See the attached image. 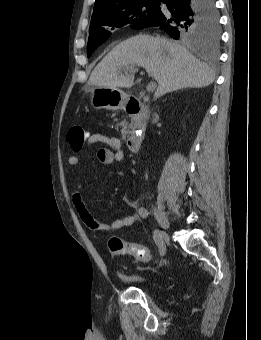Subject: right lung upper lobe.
<instances>
[{"mask_svg":"<svg viewBox=\"0 0 261 340\" xmlns=\"http://www.w3.org/2000/svg\"><path fill=\"white\" fill-rule=\"evenodd\" d=\"M144 0H96L91 21L99 20L117 9Z\"/></svg>","mask_w":261,"mask_h":340,"instance_id":"1","label":"right lung upper lobe"}]
</instances>
